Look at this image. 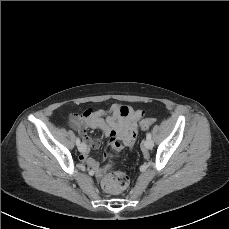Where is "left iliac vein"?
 <instances>
[{
  "label": "left iliac vein",
  "instance_id": "1",
  "mask_svg": "<svg viewBox=\"0 0 229 229\" xmlns=\"http://www.w3.org/2000/svg\"><path fill=\"white\" fill-rule=\"evenodd\" d=\"M143 144H144V147L146 148V149H152L153 148V141L151 140V139H146L144 142H143Z\"/></svg>",
  "mask_w": 229,
  "mask_h": 229
}]
</instances>
